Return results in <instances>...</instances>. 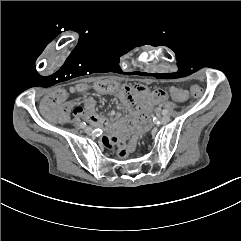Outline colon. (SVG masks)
<instances>
[{"instance_id": "1", "label": "colon", "mask_w": 241, "mask_h": 241, "mask_svg": "<svg viewBox=\"0 0 241 241\" xmlns=\"http://www.w3.org/2000/svg\"><path fill=\"white\" fill-rule=\"evenodd\" d=\"M77 90L80 93H91L93 91V86L91 84H80ZM94 91L96 93H116L118 91V86L114 79H101L96 82ZM70 92L73 94L75 91L72 89ZM190 92L193 96L199 97L202 94V88L200 86H193L190 88ZM167 95L172 97L175 101H180L184 99L185 92L182 89H178L176 86H169L167 88Z\"/></svg>"}]
</instances>
